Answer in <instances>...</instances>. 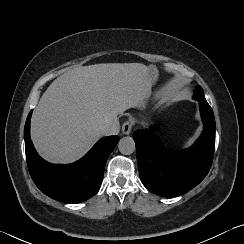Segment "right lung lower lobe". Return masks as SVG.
I'll list each match as a JSON object with an SVG mask.
<instances>
[{
	"label": "right lung lower lobe",
	"mask_w": 244,
	"mask_h": 244,
	"mask_svg": "<svg viewBox=\"0 0 244 244\" xmlns=\"http://www.w3.org/2000/svg\"><path fill=\"white\" fill-rule=\"evenodd\" d=\"M31 113L26 120L24 139L28 169L36 186L47 196L68 203H79L94 196L119 137L101 138L83 158L72 164H51L38 155L30 139Z\"/></svg>",
	"instance_id": "right-lung-lower-lobe-1"
}]
</instances>
